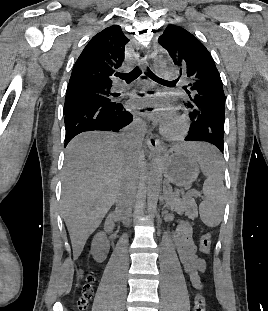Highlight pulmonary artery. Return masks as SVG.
<instances>
[{
    "label": "pulmonary artery",
    "instance_id": "obj_1",
    "mask_svg": "<svg viewBox=\"0 0 268 311\" xmlns=\"http://www.w3.org/2000/svg\"><path fill=\"white\" fill-rule=\"evenodd\" d=\"M164 77L166 79H174L175 77H177V71L175 69H168L164 72ZM116 89L122 90V89H124V86L123 85H117Z\"/></svg>",
    "mask_w": 268,
    "mask_h": 311
}]
</instances>
